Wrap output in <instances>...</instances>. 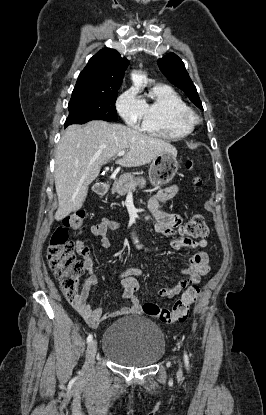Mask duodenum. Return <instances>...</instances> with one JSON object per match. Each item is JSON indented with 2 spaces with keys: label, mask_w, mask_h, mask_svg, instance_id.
Returning <instances> with one entry per match:
<instances>
[{
  "label": "duodenum",
  "mask_w": 266,
  "mask_h": 415,
  "mask_svg": "<svg viewBox=\"0 0 266 415\" xmlns=\"http://www.w3.org/2000/svg\"><path fill=\"white\" fill-rule=\"evenodd\" d=\"M107 188L108 184L106 182L101 181L94 184L93 191L97 195H103L106 193Z\"/></svg>",
  "instance_id": "410a0bca"
}]
</instances>
